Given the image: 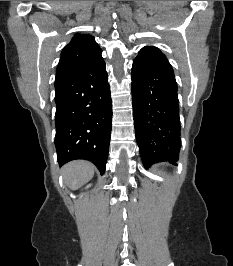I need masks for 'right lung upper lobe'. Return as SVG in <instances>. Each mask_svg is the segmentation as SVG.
I'll use <instances>...</instances> for the list:
<instances>
[{
  "instance_id": "cb5924a9",
  "label": "right lung upper lobe",
  "mask_w": 233,
  "mask_h": 266,
  "mask_svg": "<svg viewBox=\"0 0 233 266\" xmlns=\"http://www.w3.org/2000/svg\"><path fill=\"white\" fill-rule=\"evenodd\" d=\"M101 49L91 35H78L72 38L61 53L56 70L55 83H59L81 71L101 55Z\"/></svg>"
}]
</instances>
